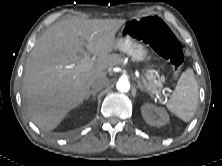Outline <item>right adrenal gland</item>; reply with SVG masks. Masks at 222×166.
<instances>
[{
	"label": "right adrenal gland",
	"instance_id": "1",
	"mask_svg": "<svg viewBox=\"0 0 222 166\" xmlns=\"http://www.w3.org/2000/svg\"><path fill=\"white\" fill-rule=\"evenodd\" d=\"M96 94H97L96 91H93V90L90 91L89 94H88V96L86 97V100H88L91 95H92V97H93V100H95V99H96Z\"/></svg>",
	"mask_w": 222,
	"mask_h": 166
}]
</instances>
